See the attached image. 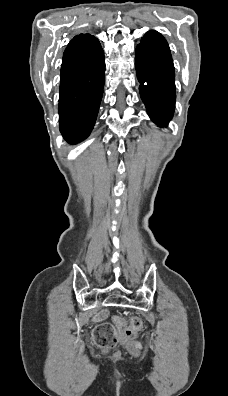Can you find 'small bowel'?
<instances>
[{
    "label": "small bowel",
    "instance_id": "1",
    "mask_svg": "<svg viewBox=\"0 0 228 396\" xmlns=\"http://www.w3.org/2000/svg\"><path fill=\"white\" fill-rule=\"evenodd\" d=\"M127 347L129 349V351L133 354V355H138L141 348H142V344L139 341H135V342H130L127 344Z\"/></svg>",
    "mask_w": 228,
    "mask_h": 396
}]
</instances>
